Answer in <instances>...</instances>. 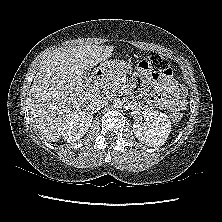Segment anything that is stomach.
<instances>
[{"instance_id": "stomach-1", "label": "stomach", "mask_w": 222, "mask_h": 222, "mask_svg": "<svg viewBox=\"0 0 222 222\" xmlns=\"http://www.w3.org/2000/svg\"><path fill=\"white\" fill-rule=\"evenodd\" d=\"M116 65L121 74H128L131 72V65L129 63L118 62ZM109 67H111L110 64H108V68Z\"/></svg>"}]
</instances>
